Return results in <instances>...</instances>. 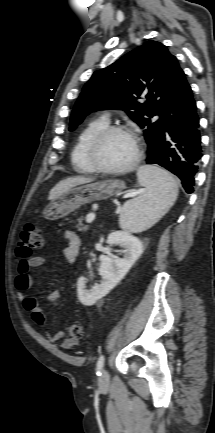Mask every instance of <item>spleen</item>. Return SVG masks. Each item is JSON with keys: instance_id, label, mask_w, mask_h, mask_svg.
Here are the masks:
<instances>
[{"instance_id": "obj_1", "label": "spleen", "mask_w": 215, "mask_h": 433, "mask_svg": "<svg viewBox=\"0 0 215 433\" xmlns=\"http://www.w3.org/2000/svg\"><path fill=\"white\" fill-rule=\"evenodd\" d=\"M137 177L145 191L127 201L119 216L120 227L130 232H141L153 226L168 212L178 196L176 181L159 167L141 166Z\"/></svg>"}]
</instances>
